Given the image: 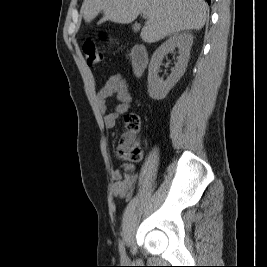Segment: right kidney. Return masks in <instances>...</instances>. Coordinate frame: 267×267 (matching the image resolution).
Returning <instances> with one entry per match:
<instances>
[{"label":"right kidney","instance_id":"right-kidney-1","mask_svg":"<svg viewBox=\"0 0 267 267\" xmlns=\"http://www.w3.org/2000/svg\"><path fill=\"white\" fill-rule=\"evenodd\" d=\"M193 43V36L190 33H177L166 40L156 51L154 52L148 69V93L154 100L164 99L174 85L184 75L188 59L190 56V50ZM178 48L179 56L177 63L172 69L170 76L163 81L158 73L164 57Z\"/></svg>","mask_w":267,"mask_h":267}]
</instances>
